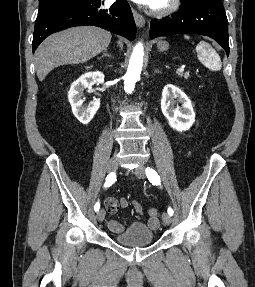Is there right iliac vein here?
Wrapping results in <instances>:
<instances>
[{
  "label": "right iliac vein",
  "instance_id": "63e3f726",
  "mask_svg": "<svg viewBox=\"0 0 255 287\" xmlns=\"http://www.w3.org/2000/svg\"><path fill=\"white\" fill-rule=\"evenodd\" d=\"M117 168H118V160H117L116 157H113L109 161L108 169H109V171H115ZM96 217H97V220L99 222H102L104 220V218H105V211H104V209H100L97 212Z\"/></svg>",
  "mask_w": 255,
  "mask_h": 287
}]
</instances>
